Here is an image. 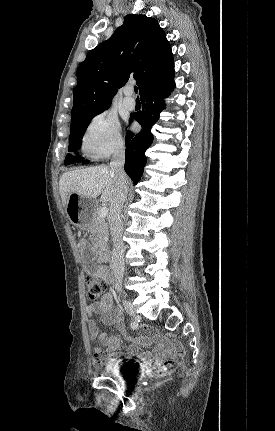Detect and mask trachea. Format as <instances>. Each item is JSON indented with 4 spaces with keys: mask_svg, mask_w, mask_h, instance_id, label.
<instances>
[{
    "mask_svg": "<svg viewBox=\"0 0 275 431\" xmlns=\"http://www.w3.org/2000/svg\"><path fill=\"white\" fill-rule=\"evenodd\" d=\"M134 91L137 93V92H138V88H137V87H134Z\"/></svg>",
    "mask_w": 275,
    "mask_h": 431,
    "instance_id": "obj_1",
    "label": "trachea"
}]
</instances>
